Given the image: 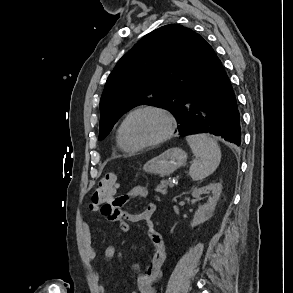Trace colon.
Returning <instances> with one entry per match:
<instances>
[{"label":"colon","instance_id":"5ec220e1","mask_svg":"<svg viewBox=\"0 0 293 293\" xmlns=\"http://www.w3.org/2000/svg\"><path fill=\"white\" fill-rule=\"evenodd\" d=\"M118 188V176L116 173L106 174L94 188L90 206L94 209H103L105 206L116 203L114 197Z\"/></svg>","mask_w":293,"mask_h":293}]
</instances>
